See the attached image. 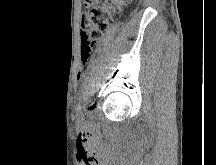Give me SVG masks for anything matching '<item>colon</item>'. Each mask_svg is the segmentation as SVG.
Here are the masks:
<instances>
[{
	"label": "colon",
	"mask_w": 216,
	"mask_h": 165,
	"mask_svg": "<svg viewBox=\"0 0 216 165\" xmlns=\"http://www.w3.org/2000/svg\"><path fill=\"white\" fill-rule=\"evenodd\" d=\"M131 0H84L87 8L81 23V58L87 60L93 46L109 28L115 14Z\"/></svg>",
	"instance_id": "colon-1"
}]
</instances>
